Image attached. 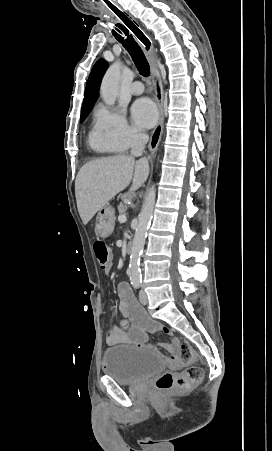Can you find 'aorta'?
Here are the masks:
<instances>
[{
  "label": "aorta",
  "mask_w": 272,
  "mask_h": 451,
  "mask_svg": "<svg viewBox=\"0 0 272 451\" xmlns=\"http://www.w3.org/2000/svg\"><path fill=\"white\" fill-rule=\"evenodd\" d=\"M121 74L120 62H114L109 66L100 86L101 98H103L107 106H114L117 96L118 82ZM156 190L155 186L150 188L142 206V210L139 214V222L137 229H135V235L132 243L130 261H129V273L131 281H140L141 269H140V255L144 247L145 237L148 226L152 220L154 206H155Z\"/></svg>",
  "instance_id": "obj_1"
}]
</instances>
